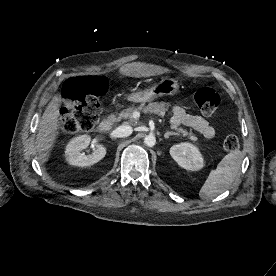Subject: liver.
<instances>
[{
    "label": "liver",
    "mask_w": 276,
    "mask_h": 276,
    "mask_svg": "<svg viewBox=\"0 0 276 276\" xmlns=\"http://www.w3.org/2000/svg\"><path fill=\"white\" fill-rule=\"evenodd\" d=\"M120 74L126 77H150L169 72V69L142 62L125 64L119 69ZM62 98L55 95L46 107L39 122L36 136V151L39 161L44 164L48 161L58 136L60 120V103Z\"/></svg>",
    "instance_id": "liver-1"
}]
</instances>
